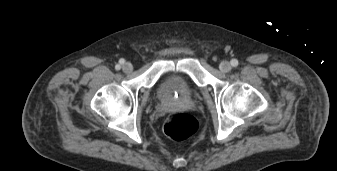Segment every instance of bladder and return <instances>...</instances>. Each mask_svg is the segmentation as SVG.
Listing matches in <instances>:
<instances>
[{"label":"bladder","instance_id":"bladder-1","mask_svg":"<svg viewBox=\"0 0 337 171\" xmlns=\"http://www.w3.org/2000/svg\"><path fill=\"white\" fill-rule=\"evenodd\" d=\"M178 94L183 98H191L194 88L182 78L172 75L165 78L157 88V95L161 100H169Z\"/></svg>","mask_w":337,"mask_h":171}]
</instances>
